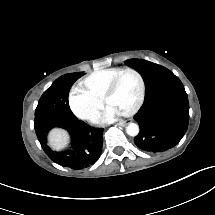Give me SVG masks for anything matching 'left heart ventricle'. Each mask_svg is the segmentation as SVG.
I'll list each match as a JSON object with an SVG mask.
<instances>
[{
  "mask_svg": "<svg viewBox=\"0 0 215 215\" xmlns=\"http://www.w3.org/2000/svg\"><path fill=\"white\" fill-rule=\"evenodd\" d=\"M134 93L135 79L131 75L124 74L122 83L118 90L114 94H111L110 101L117 107H127L132 103Z\"/></svg>",
  "mask_w": 215,
  "mask_h": 215,
  "instance_id": "obj_1",
  "label": "left heart ventricle"
}]
</instances>
